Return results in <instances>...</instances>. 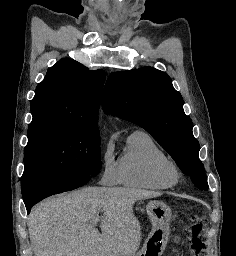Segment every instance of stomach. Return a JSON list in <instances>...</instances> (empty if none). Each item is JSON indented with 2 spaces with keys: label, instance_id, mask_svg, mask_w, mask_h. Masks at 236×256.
Instances as JSON below:
<instances>
[{
  "label": "stomach",
  "instance_id": "0dacf381",
  "mask_svg": "<svg viewBox=\"0 0 236 256\" xmlns=\"http://www.w3.org/2000/svg\"><path fill=\"white\" fill-rule=\"evenodd\" d=\"M146 211L152 229L142 249L132 256H161L168 242L171 209L161 201H150Z\"/></svg>",
  "mask_w": 236,
  "mask_h": 256
}]
</instances>
